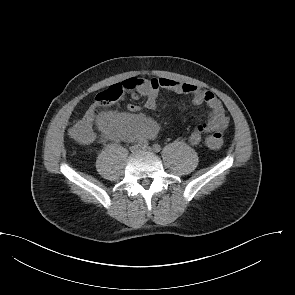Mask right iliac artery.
Returning <instances> with one entry per match:
<instances>
[{
	"label": "right iliac artery",
	"instance_id": "right-iliac-artery-1",
	"mask_svg": "<svg viewBox=\"0 0 295 295\" xmlns=\"http://www.w3.org/2000/svg\"><path fill=\"white\" fill-rule=\"evenodd\" d=\"M140 145H142V146H144V147H145V146H147V145H148V142H147L146 140H145V141H141V142H140Z\"/></svg>",
	"mask_w": 295,
	"mask_h": 295
}]
</instances>
